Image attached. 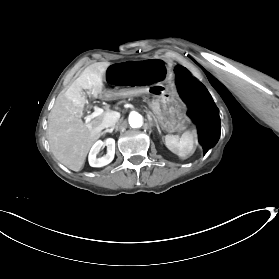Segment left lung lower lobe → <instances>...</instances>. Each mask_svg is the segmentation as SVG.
<instances>
[{"label":"left lung lower lobe","mask_w":279,"mask_h":279,"mask_svg":"<svg viewBox=\"0 0 279 279\" xmlns=\"http://www.w3.org/2000/svg\"><path fill=\"white\" fill-rule=\"evenodd\" d=\"M175 72L177 89L197 124L205 154L220 138L219 111L204 85L195 80L186 68L176 66Z\"/></svg>","instance_id":"1"}]
</instances>
